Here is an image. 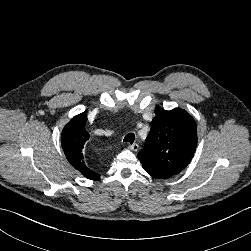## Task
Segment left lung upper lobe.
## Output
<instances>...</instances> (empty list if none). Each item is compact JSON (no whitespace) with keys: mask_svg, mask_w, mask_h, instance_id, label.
<instances>
[{"mask_svg":"<svg viewBox=\"0 0 251 251\" xmlns=\"http://www.w3.org/2000/svg\"><path fill=\"white\" fill-rule=\"evenodd\" d=\"M196 145L197 127L190 114L179 108H157L138 158L144 169L175 175L189 164Z\"/></svg>","mask_w":251,"mask_h":251,"instance_id":"left-lung-upper-lobe-1","label":"left lung upper lobe"}]
</instances>
